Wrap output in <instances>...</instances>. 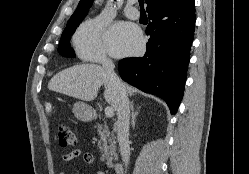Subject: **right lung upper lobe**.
I'll return each mask as SVG.
<instances>
[{
    "instance_id": "right-lung-upper-lobe-1",
    "label": "right lung upper lobe",
    "mask_w": 249,
    "mask_h": 174,
    "mask_svg": "<svg viewBox=\"0 0 249 174\" xmlns=\"http://www.w3.org/2000/svg\"><path fill=\"white\" fill-rule=\"evenodd\" d=\"M147 3V12L157 9L164 5L173 4L180 0H145ZM93 0H80L77 9L69 19L70 22L82 21V19L87 15L89 8L91 7Z\"/></svg>"
}]
</instances>
